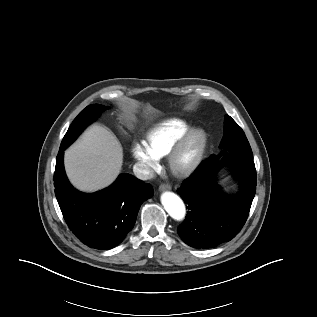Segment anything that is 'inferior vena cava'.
Wrapping results in <instances>:
<instances>
[{
	"instance_id": "obj_1",
	"label": "inferior vena cava",
	"mask_w": 317,
	"mask_h": 317,
	"mask_svg": "<svg viewBox=\"0 0 317 317\" xmlns=\"http://www.w3.org/2000/svg\"><path fill=\"white\" fill-rule=\"evenodd\" d=\"M135 176L141 180H150L155 177V172L143 162H137L133 166Z\"/></svg>"
}]
</instances>
